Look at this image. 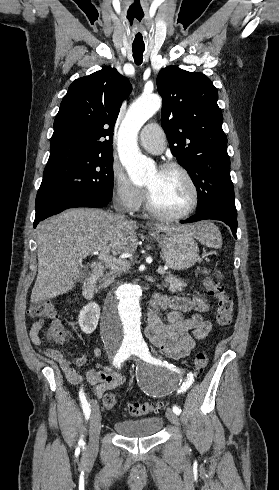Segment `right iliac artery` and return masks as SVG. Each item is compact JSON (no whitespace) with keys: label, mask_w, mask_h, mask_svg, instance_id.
I'll list each match as a JSON object with an SVG mask.
<instances>
[{"label":"right iliac artery","mask_w":279,"mask_h":490,"mask_svg":"<svg viewBox=\"0 0 279 490\" xmlns=\"http://www.w3.org/2000/svg\"><path fill=\"white\" fill-rule=\"evenodd\" d=\"M112 363L114 366H118L120 367L123 363V361H126L127 358H128V355L126 352H115L113 355H112ZM79 396H80V400H81V403H82V409H83V412L85 414V417L86 419H89V416H90V404L87 402L86 400V397L84 395V393L82 391H80L79 393ZM79 446H82L84 447L85 445V442L83 441V439L81 438L78 442Z\"/></svg>","instance_id":"1"}]
</instances>
